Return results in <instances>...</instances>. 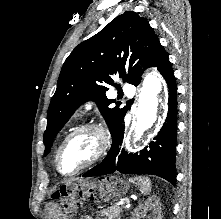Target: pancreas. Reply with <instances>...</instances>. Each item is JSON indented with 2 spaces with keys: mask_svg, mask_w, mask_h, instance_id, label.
<instances>
[{
  "mask_svg": "<svg viewBox=\"0 0 221 219\" xmlns=\"http://www.w3.org/2000/svg\"><path fill=\"white\" fill-rule=\"evenodd\" d=\"M121 212L122 208L118 204H113L109 208L99 211L98 215L105 219H118Z\"/></svg>",
  "mask_w": 221,
  "mask_h": 219,
  "instance_id": "obj_1",
  "label": "pancreas"
}]
</instances>
